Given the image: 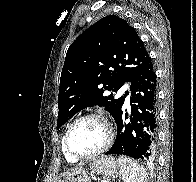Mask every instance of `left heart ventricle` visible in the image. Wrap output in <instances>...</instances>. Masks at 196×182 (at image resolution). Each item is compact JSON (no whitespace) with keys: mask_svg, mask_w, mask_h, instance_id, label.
Listing matches in <instances>:
<instances>
[{"mask_svg":"<svg viewBox=\"0 0 196 182\" xmlns=\"http://www.w3.org/2000/svg\"><path fill=\"white\" fill-rule=\"evenodd\" d=\"M105 140L102 124L94 119L78 123L70 132L68 144L72 152L88 155L98 150Z\"/></svg>","mask_w":196,"mask_h":182,"instance_id":"b2bd125f","label":"left heart ventricle"}]
</instances>
